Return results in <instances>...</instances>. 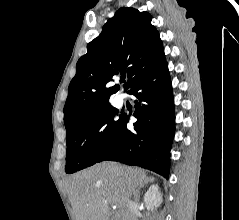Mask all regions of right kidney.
Returning a JSON list of instances; mask_svg holds the SVG:
<instances>
[{
  "instance_id": "right-kidney-1",
  "label": "right kidney",
  "mask_w": 239,
  "mask_h": 220,
  "mask_svg": "<svg viewBox=\"0 0 239 220\" xmlns=\"http://www.w3.org/2000/svg\"><path fill=\"white\" fill-rule=\"evenodd\" d=\"M162 201V194L158 185H152L144 195V203L148 209L153 210L154 207H159Z\"/></svg>"
}]
</instances>
